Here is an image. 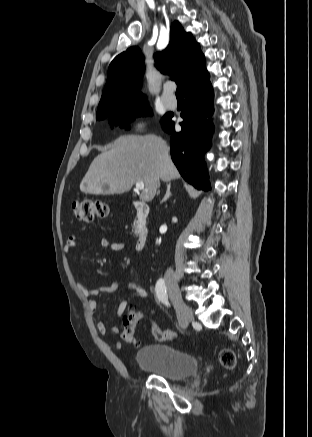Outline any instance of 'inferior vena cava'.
<instances>
[{"label":"inferior vena cava","instance_id":"obj_1","mask_svg":"<svg viewBox=\"0 0 312 437\" xmlns=\"http://www.w3.org/2000/svg\"><path fill=\"white\" fill-rule=\"evenodd\" d=\"M166 148H167V150H169V147H168L167 145H166ZM159 186H160V182H158V187H159ZM168 272H169V273H173V270H172V269H169Z\"/></svg>","mask_w":312,"mask_h":437}]
</instances>
